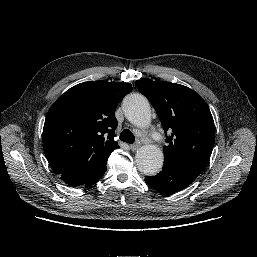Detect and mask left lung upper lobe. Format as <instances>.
Listing matches in <instances>:
<instances>
[{"instance_id": "left-lung-upper-lobe-1", "label": "left lung upper lobe", "mask_w": 257, "mask_h": 257, "mask_svg": "<svg viewBox=\"0 0 257 257\" xmlns=\"http://www.w3.org/2000/svg\"><path fill=\"white\" fill-rule=\"evenodd\" d=\"M161 121L167 136L164 162L182 166L197 175L205 169L215 141L210 109L194 90L175 83L136 81Z\"/></svg>"}]
</instances>
